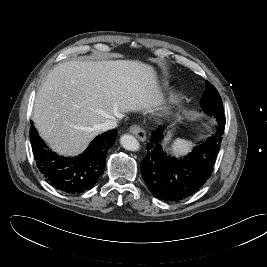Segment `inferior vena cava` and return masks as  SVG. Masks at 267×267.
<instances>
[{
    "label": "inferior vena cava",
    "mask_w": 267,
    "mask_h": 267,
    "mask_svg": "<svg viewBox=\"0 0 267 267\" xmlns=\"http://www.w3.org/2000/svg\"><path fill=\"white\" fill-rule=\"evenodd\" d=\"M117 125L118 124L115 118L107 119L104 123L100 125V129L102 131H108L114 129L115 127H117Z\"/></svg>",
    "instance_id": "602c4592"
}]
</instances>
